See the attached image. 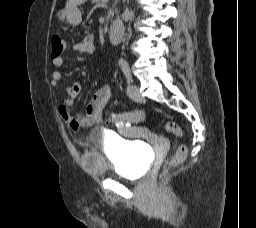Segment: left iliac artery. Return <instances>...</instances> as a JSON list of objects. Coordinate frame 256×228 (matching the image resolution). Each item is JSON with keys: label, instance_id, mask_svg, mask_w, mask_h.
Listing matches in <instances>:
<instances>
[{"label": "left iliac artery", "instance_id": "obj_1", "mask_svg": "<svg viewBox=\"0 0 256 228\" xmlns=\"http://www.w3.org/2000/svg\"><path fill=\"white\" fill-rule=\"evenodd\" d=\"M121 69L124 72V75L126 77L127 83L132 82V75L131 70L127 62L121 63Z\"/></svg>", "mask_w": 256, "mask_h": 228}]
</instances>
